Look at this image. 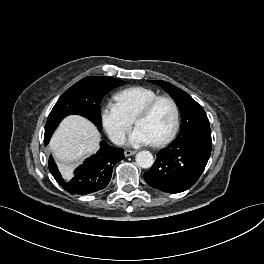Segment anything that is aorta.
Wrapping results in <instances>:
<instances>
[{
  "mask_svg": "<svg viewBox=\"0 0 264 264\" xmlns=\"http://www.w3.org/2000/svg\"><path fill=\"white\" fill-rule=\"evenodd\" d=\"M136 163L141 168H150L154 163L153 155L149 151H140L136 155Z\"/></svg>",
  "mask_w": 264,
  "mask_h": 264,
  "instance_id": "obj_1",
  "label": "aorta"
}]
</instances>
